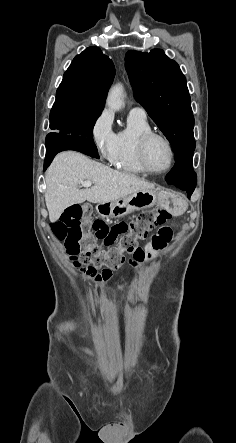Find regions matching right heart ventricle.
Instances as JSON below:
<instances>
[{"label": "right heart ventricle", "instance_id": "obj_1", "mask_svg": "<svg viewBox=\"0 0 236 443\" xmlns=\"http://www.w3.org/2000/svg\"><path fill=\"white\" fill-rule=\"evenodd\" d=\"M152 130L146 117L129 114L127 125L116 134V155L113 165L121 171L145 174L137 156V142L140 135Z\"/></svg>", "mask_w": 236, "mask_h": 443}]
</instances>
